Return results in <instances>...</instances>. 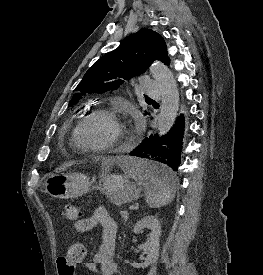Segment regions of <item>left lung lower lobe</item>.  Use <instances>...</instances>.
Instances as JSON below:
<instances>
[{
    "label": "left lung lower lobe",
    "mask_w": 263,
    "mask_h": 275,
    "mask_svg": "<svg viewBox=\"0 0 263 275\" xmlns=\"http://www.w3.org/2000/svg\"><path fill=\"white\" fill-rule=\"evenodd\" d=\"M184 128L185 120L180 115L167 134L145 137L129 154L156 163V166L151 165L150 174L169 182L175 177L181 164Z\"/></svg>",
    "instance_id": "left-lung-lower-lobe-1"
}]
</instances>
